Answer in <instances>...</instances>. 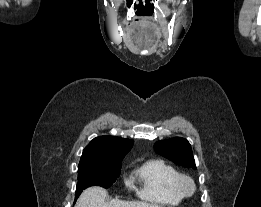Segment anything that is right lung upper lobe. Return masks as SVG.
I'll list each match as a JSON object with an SVG mask.
<instances>
[{"mask_svg": "<svg viewBox=\"0 0 261 207\" xmlns=\"http://www.w3.org/2000/svg\"><path fill=\"white\" fill-rule=\"evenodd\" d=\"M133 141L115 136L94 138L83 150L79 165L106 164L124 157L132 148Z\"/></svg>", "mask_w": 261, "mask_h": 207, "instance_id": "obj_1", "label": "right lung upper lobe"}]
</instances>
